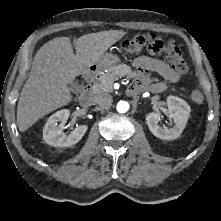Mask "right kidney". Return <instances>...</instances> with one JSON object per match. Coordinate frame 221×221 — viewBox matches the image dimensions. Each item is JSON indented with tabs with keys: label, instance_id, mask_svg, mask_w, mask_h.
<instances>
[{
	"label": "right kidney",
	"instance_id": "1",
	"mask_svg": "<svg viewBox=\"0 0 221 221\" xmlns=\"http://www.w3.org/2000/svg\"><path fill=\"white\" fill-rule=\"evenodd\" d=\"M70 115L68 109L57 111L49 117L44 129V141L55 147H69L78 143L87 131V125L76 127L70 135L63 132L64 124L67 122Z\"/></svg>",
	"mask_w": 221,
	"mask_h": 221
}]
</instances>
